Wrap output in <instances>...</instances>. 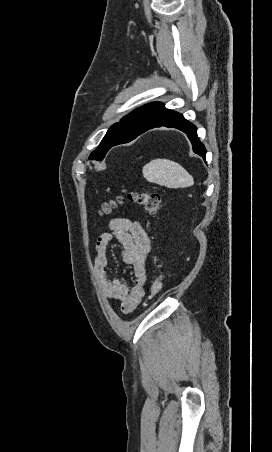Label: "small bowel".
<instances>
[{"mask_svg": "<svg viewBox=\"0 0 272 452\" xmlns=\"http://www.w3.org/2000/svg\"><path fill=\"white\" fill-rule=\"evenodd\" d=\"M109 228L110 232L102 233L97 239L94 273L103 296L118 301L122 312L128 314L138 308L145 295L150 240L140 223L131 218H114ZM113 239L122 246L123 261L132 267L131 286L110 275L108 248Z\"/></svg>", "mask_w": 272, "mask_h": 452, "instance_id": "obj_1", "label": "small bowel"}]
</instances>
